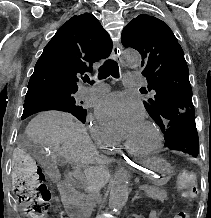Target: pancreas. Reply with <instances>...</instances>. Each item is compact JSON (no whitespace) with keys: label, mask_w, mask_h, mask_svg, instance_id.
Masks as SVG:
<instances>
[{"label":"pancreas","mask_w":211,"mask_h":218,"mask_svg":"<svg viewBox=\"0 0 211 218\" xmlns=\"http://www.w3.org/2000/svg\"><path fill=\"white\" fill-rule=\"evenodd\" d=\"M146 189L145 192L149 198H152V200H160V202H164V200H167V192L165 190H159V188H153V186H144ZM71 199L69 200V205H82V196L79 195V190H72L71 191Z\"/></svg>","instance_id":"obj_1"}]
</instances>
